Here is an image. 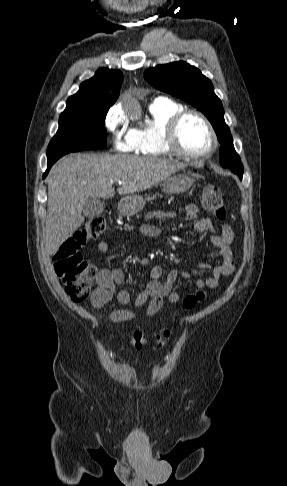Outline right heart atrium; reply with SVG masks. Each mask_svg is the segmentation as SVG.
Masks as SVG:
<instances>
[{"instance_id":"obj_1","label":"right heart atrium","mask_w":287,"mask_h":486,"mask_svg":"<svg viewBox=\"0 0 287 486\" xmlns=\"http://www.w3.org/2000/svg\"><path fill=\"white\" fill-rule=\"evenodd\" d=\"M104 126L114 137L113 147L120 152H132L134 140L132 130L128 128V121L124 112L117 106H112L105 114Z\"/></svg>"}]
</instances>
